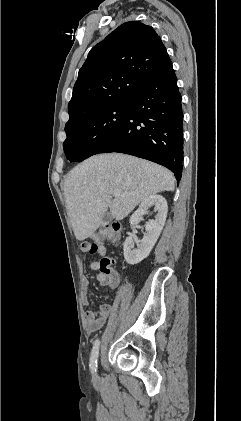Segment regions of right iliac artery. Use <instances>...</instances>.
I'll use <instances>...</instances> for the list:
<instances>
[{"label":"right iliac artery","instance_id":"obj_1","mask_svg":"<svg viewBox=\"0 0 241 421\" xmlns=\"http://www.w3.org/2000/svg\"><path fill=\"white\" fill-rule=\"evenodd\" d=\"M99 345H100V342L97 339L94 342V345H93V348H92V351H91V356H90V369H91V371L93 373L96 372V370H97V360H98V354H99Z\"/></svg>","mask_w":241,"mask_h":421}]
</instances>
